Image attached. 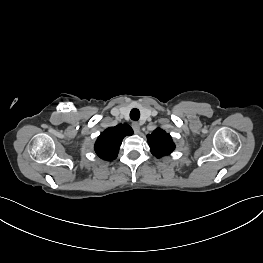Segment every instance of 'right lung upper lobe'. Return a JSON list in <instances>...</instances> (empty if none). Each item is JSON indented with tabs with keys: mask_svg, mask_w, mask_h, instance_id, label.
I'll use <instances>...</instances> for the list:
<instances>
[{
	"mask_svg": "<svg viewBox=\"0 0 263 263\" xmlns=\"http://www.w3.org/2000/svg\"><path fill=\"white\" fill-rule=\"evenodd\" d=\"M133 130L127 124H119L109 127L98 137L94 149L96 154L104 160L112 161L116 159L122 139L127 135H132Z\"/></svg>",
	"mask_w": 263,
	"mask_h": 263,
	"instance_id": "1",
	"label": "right lung upper lobe"
}]
</instances>
